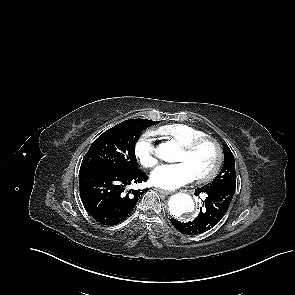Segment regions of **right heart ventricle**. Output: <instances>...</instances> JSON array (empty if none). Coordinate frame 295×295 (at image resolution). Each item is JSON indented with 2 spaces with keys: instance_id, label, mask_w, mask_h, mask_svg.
<instances>
[{
  "instance_id": "obj_1",
  "label": "right heart ventricle",
  "mask_w": 295,
  "mask_h": 295,
  "mask_svg": "<svg viewBox=\"0 0 295 295\" xmlns=\"http://www.w3.org/2000/svg\"><path fill=\"white\" fill-rule=\"evenodd\" d=\"M156 133L184 146L195 139L206 136V133L187 124H168L156 130Z\"/></svg>"
}]
</instances>
